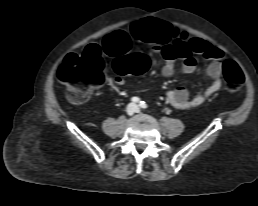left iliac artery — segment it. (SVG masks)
Masks as SVG:
<instances>
[{"mask_svg":"<svg viewBox=\"0 0 258 206\" xmlns=\"http://www.w3.org/2000/svg\"><path fill=\"white\" fill-rule=\"evenodd\" d=\"M139 106L142 107V108H147V104L144 101H141L139 103Z\"/></svg>","mask_w":258,"mask_h":206,"instance_id":"44dca946","label":"left iliac artery"}]
</instances>
